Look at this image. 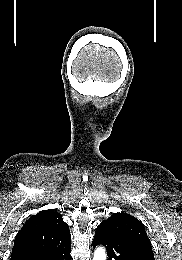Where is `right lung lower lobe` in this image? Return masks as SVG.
I'll list each match as a JSON object with an SVG mask.
<instances>
[{"label":"right lung lower lobe","instance_id":"98d812e1","mask_svg":"<svg viewBox=\"0 0 182 260\" xmlns=\"http://www.w3.org/2000/svg\"><path fill=\"white\" fill-rule=\"evenodd\" d=\"M71 242L53 249L36 252L17 260H71Z\"/></svg>","mask_w":182,"mask_h":260}]
</instances>
